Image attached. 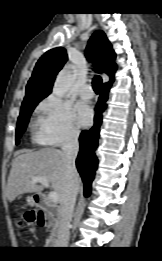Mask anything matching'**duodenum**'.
I'll list each match as a JSON object with an SVG mask.
<instances>
[{
	"mask_svg": "<svg viewBox=\"0 0 162 261\" xmlns=\"http://www.w3.org/2000/svg\"><path fill=\"white\" fill-rule=\"evenodd\" d=\"M35 205L41 209L44 222L42 226H50L53 225V218L56 215L55 208H49L47 205L46 197L43 194H36L34 196ZM57 229H59L58 225H55ZM60 239V238H59Z\"/></svg>",
	"mask_w": 162,
	"mask_h": 261,
	"instance_id": "obj_1",
	"label": "duodenum"
}]
</instances>
